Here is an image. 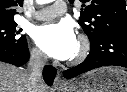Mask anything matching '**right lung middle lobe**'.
<instances>
[{"mask_svg": "<svg viewBox=\"0 0 127 92\" xmlns=\"http://www.w3.org/2000/svg\"><path fill=\"white\" fill-rule=\"evenodd\" d=\"M16 26L17 24L15 22L0 24V43L11 44L19 47L27 43L24 35L19 36L21 30L17 31Z\"/></svg>", "mask_w": 127, "mask_h": 92, "instance_id": "right-lung-middle-lobe-1", "label": "right lung middle lobe"}]
</instances>
